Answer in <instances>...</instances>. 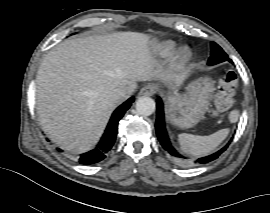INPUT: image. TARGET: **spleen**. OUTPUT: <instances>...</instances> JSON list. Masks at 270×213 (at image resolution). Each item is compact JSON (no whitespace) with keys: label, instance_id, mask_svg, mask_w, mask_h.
<instances>
[{"label":"spleen","instance_id":"spleen-1","mask_svg":"<svg viewBox=\"0 0 270 213\" xmlns=\"http://www.w3.org/2000/svg\"><path fill=\"white\" fill-rule=\"evenodd\" d=\"M228 134V128L221 129L208 136L181 133L178 135V140L183 152L193 156H205L218 147Z\"/></svg>","mask_w":270,"mask_h":213}]
</instances>
